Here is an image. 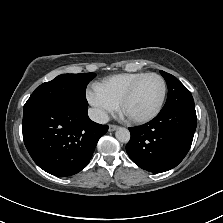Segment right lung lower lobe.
Masks as SVG:
<instances>
[{
  "label": "right lung lower lobe",
  "mask_w": 223,
  "mask_h": 223,
  "mask_svg": "<svg viewBox=\"0 0 223 223\" xmlns=\"http://www.w3.org/2000/svg\"><path fill=\"white\" fill-rule=\"evenodd\" d=\"M88 107L55 104L23 111V140L34 162L58 177L81 171L107 130L88 117Z\"/></svg>",
  "instance_id": "98d812e1"
}]
</instances>
